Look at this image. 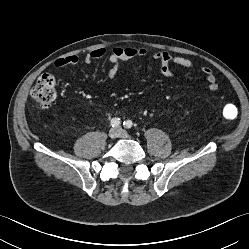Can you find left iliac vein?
<instances>
[{
    "instance_id": "1",
    "label": "left iliac vein",
    "mask_w": 249,
    "mask_h": 249,
    "mask_svg": "<svg viewBox=\"0 0 249 249\" xmlns=\"http://www.w3.org/2000/svg\"><path fill=\"white\" fill-rule=\"evenodd\" d=\"M118 130H119V136L120 137H123V138H128L129 137V134L126 131H124V130H122L120 128Z\"/></svg>"
}]
</instances>
